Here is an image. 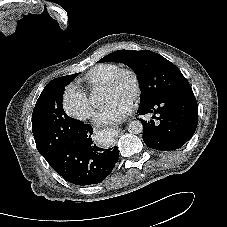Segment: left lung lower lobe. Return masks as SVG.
Instances as JSON below:
<instances>
[{"instance_id":"0a47b994","label":"left lung lower lobe","mask_w":227,"mask_h":227,"mask_svg":"<svg viewBox=\"0 0 227 227\" xmlns=\"http://www.w3.org/2000/svg\"><path fill=\"white\" fill-rule=\"evenodd\" d=\"M139 115L152 114L154 120H140L143 140L153 149L169 151L182 147L194 134L198 122V106L193 92L172 95L145 106Z\"/></svg>"}]
</instances>
